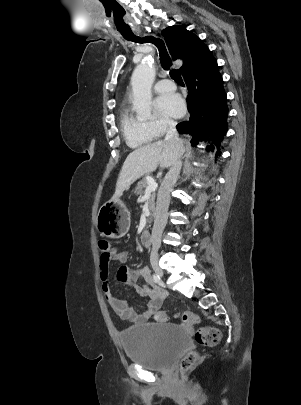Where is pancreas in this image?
<instances>
[{
    "label": "pancreas",
    "mask_w": 301,
    "mask_h": 405,
    "mask_svg": "<svg viewBox=\"0 0 301 405\" xmlns=\"http://www.w3.org/2000/svg\"><path fill=\"white\" fill-rule=\"evenodd\" d=\"M147 186H148L147 179L141 180L137 185L135 194L143 195ZM154 209H155V194L153 193L150 198V210L152 211V216H154ZM151 221L152 219L150 218L148 222L151 223Z\"/></svg>",
    "instance_id": "pancreas-1"
}]
</instances>
